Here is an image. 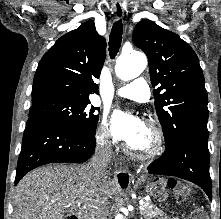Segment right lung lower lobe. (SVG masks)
Returning a JSON list of instances; mask_svg holds the SVG:
<instances>
[{
  "label": "right lung lower lobe",
  "mask_w": 221,
  "mask_h": 219,
  "mask_svg": "<svg viewBox=\"0 0 221 219\" xmlns=\"http://www.w3.org/2000/svg\"><path fill=\"white\" fill-rule=\"evenodd\" d=\"M95 147V135L47 118L31 116L23 135L15 184L27 172L44 164L85 162L93 155Z\"/></svg>",
  "instance_id": "98d812e1"
}]
</instances>
